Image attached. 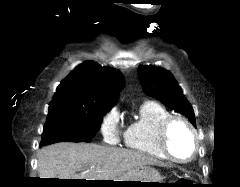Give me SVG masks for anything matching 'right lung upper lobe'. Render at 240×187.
Masks as SVG:
<instances>
[{"instance_id": "cb5924a9", "label": "right lung upper lobe", "mask_w": 240, "mask_h": 187, "mask_svg": "<svg viewBox=\"0 0 240 187\" xmlns=\"http://www.w3.org/2000/svg\"><path fill=\"white\" fill-rule=\"evenodd\" d=\"M120 71L86 61L76 67L57 87L49 108L75 106L110 110L122 86Z\"/></svg>"}]
</instances>
